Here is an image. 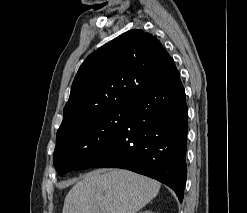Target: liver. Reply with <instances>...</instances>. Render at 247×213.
Instances as JSON below:
<instances>
[{"mask_svg": "<svg viewBox=\"0 0 247 213\" xmlns=\"http://www.w3.org/2000/svg\"><path fill=\"white\" fill-rule=\"evenodd\" d=\"M160 186L128 170H94L68 192L62 213H136L157 196Z\"/></svg>", "mask_w": 247, "mask_h": 213, "instance_id": "obj_1", "label": "liver"}]
</instances>
